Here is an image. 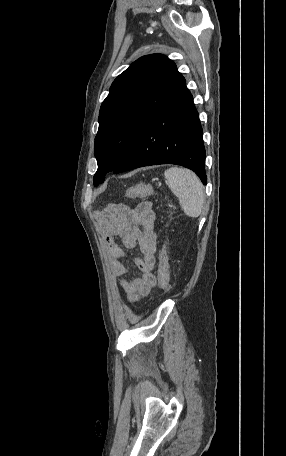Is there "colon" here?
<instances>
[{
	"label": "colon",
	"mask_w": 286,
	"mask_h": 456,
	"mask_svg": "<svg viewBox=\"0 0 286 456\" xmlns=\"http://www.w3.org/2000/svg\"><path fill=\"white\" fill-rule=\"evenodd\" d=\"M153 191L154 188L151 185L138 184L129 187L126 191V195L131 198L144 197L150 195ZM158 280L160 288L166 291L169 288L170 282L168 260L165 253L160 257Z\"/></svg>",
	"instance_id": "1"
}]
</instances>
